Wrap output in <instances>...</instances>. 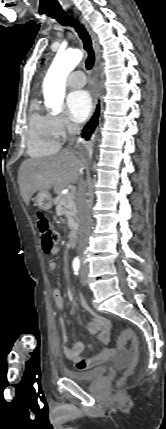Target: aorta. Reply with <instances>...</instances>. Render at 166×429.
Segmentation results:
<instances>
[{"label": "aorta", "mask_w": 166, "mask_h": 429, "mask_svg": "<svg viewBox=\"0 0 166 429\" xmlns=\"http://www.w3.org/2000/svg\"><path fill=\"white\" fill-rule=\"evenodd\" d=\"M82 58L83 52L79 49L60 51L54 58L43 82L45 105L54 113L62 111L66 77Z\"/></svg>", "instance_id": "1"}]
</instances>
